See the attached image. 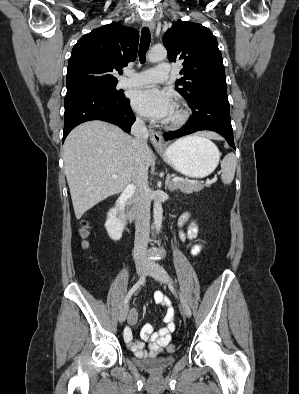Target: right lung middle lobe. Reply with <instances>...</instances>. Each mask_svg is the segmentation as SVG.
<instances>
[{
    "label": "right lung middle lobe",
    "instance_id": "obj_1",
    "mask_svg": "<svg viewBox=\"0 0 299 394\" xmlns=\"http://www.w3.org/2000/svg\"><path fill=\"white\" fill-rule=\"evenodd\" d=\"M117 82L108 83H89L76 88L67 89V91L79 90V89H100L106 90L112 93L115 97H121V93L116 90Z\"/></svg>",
    "mask_w": 299,
    "mask_h": 394
}]
</instances>
